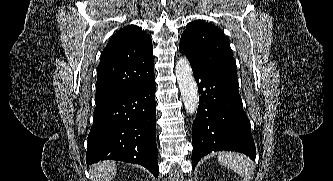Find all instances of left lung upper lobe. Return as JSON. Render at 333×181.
Returning a JSON list of instances; mask_svg holds the SVG:
<instances>
[{"mask_svg": "<svg viewBox=\"0 0 333 181\" xmlns=\"http://www.w3.org/2000/svg\"><path fill=\"white\" fill-rule=\"evenodd\" d=\"M179 49L191 64L238 82L230 45L213 24L203 20L191 22L181 35Z\"/></svg>", "mask_w": 333, "mask_h": 181, "instance_id": "5c2ea615", "label": "left lung upper lobe"}]
</instances>
